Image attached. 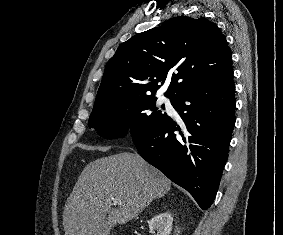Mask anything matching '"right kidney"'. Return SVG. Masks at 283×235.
Returning a JSON list of instances; mask_svg holds the SVG:
<instances>
[{
	"label": "right kidney",
	"instance_id": "obj_1",
	"mask_svg": "<svg viewBox=\"0 0 283 235\" xmlns=\"http://www.w3.org/2000/svg\"><path fill=\"white\" fill-rule=\"evenodd\" d=\"M173 217L169 212L154 216L149 222V232L152 235H170Z\"/></svg>",
	"mask_w": 283,
	"mask_h": 235
}]
</instances>
